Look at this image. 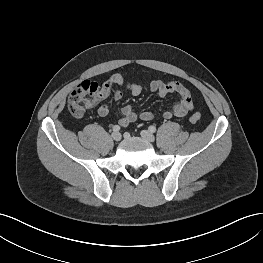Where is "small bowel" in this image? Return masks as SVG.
Returning a JSON list of instances; mask_svg holds the SVG:
<instances>
[{
	"label": "small bowel",
	"mask_w": 263,
	"mask_h": 263,
	"mask_svg": "<svg viewBox=\"0 0 263 263\" xmlns=\"http://www.w3.org/2000/svg\"><path fill=\"white\" fill-rule=\"evenodd\" d=\"M125 87L132 95L138 96L143 91V86L140 83H126L120 74H113L104 80L99 88L98 94L94 98V104H100L97 108V113L101 117H106L110 113L109 106L102 102L109 96H112L115 101L122 97V92L119 87ZM149 88L159 97H165L168 94H176L179 101L169 111L163 113L165 119L173 117H184L193 109V102L189 90L178 81L163 82L153 79L149 83ZM138 118L135 110L127 105L122 108V116L119 119L121 126H127ZM139 118L143 121H151L154 119V114L151 111H143L139 114Z\"/></svg>",
	"instance_id": "1"
}]
</instances>
